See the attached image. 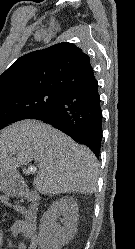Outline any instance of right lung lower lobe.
<instances>
[{"mask_svg":"<svg viewBox=\"0 0 135 249\" xmlns=\"http://www.w3.org/2000/svg\"><path fill=\"white\" fill-rule=\"evenodd\" d=\"M29 118L44 121L84 144L99 158L102 110L98 82L75 86Z\"/></svg>","mask_w":135,"mask_h":249,"instance_id":"obj_1","label":"right lung lower lobe"}]
</instances>
